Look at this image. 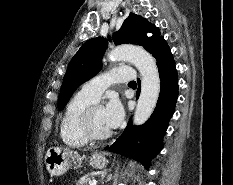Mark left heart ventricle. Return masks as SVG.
Listing matches in <instances>:
<instances>
[{
  "label": "left heart ventricle",
  "instance_id": "b2bd125f",
  "mask_svg": "<svg viewBox=\"0 0 233 185\" xmlns=\"http://www.w3.org/2000/svg\"><path fill=\"white\" fill-rule=\"evenodd\" d=\"M92 129L96 134H105L110 131L105 121L103 108H96L91 115Z\"/></svg>",
  "mask_w": 233,
  "mask_h": 185
}]
</instances>
